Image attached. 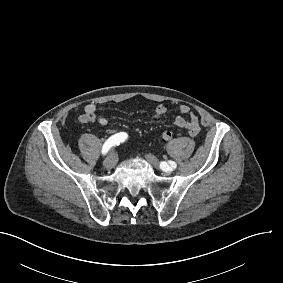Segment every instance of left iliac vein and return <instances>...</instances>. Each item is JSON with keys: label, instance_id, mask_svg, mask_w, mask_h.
I'll list each match as a JSON object with an SVG mask.
<instances>
[{"label": "left iliac vein", "instance_id": "obj_1", "mask_svg": "<svg viewBox=\"0 0 283 283\" xmlns=\"http://www.w3.org/2000/svg\"><path fill=\"white\" fill-rule=\"evenodd\" d=\"M145 158L146 160L151 163L152 165H154L155 167H159V161L157 160V158L154 156V155H151V154H145ZM161 168L166 171V172H171L172 171V167H169L167 165L165 166H162L161 165Z\"/></svg>", "mask_w": 283, "mask_h": 283}]
</instances>
